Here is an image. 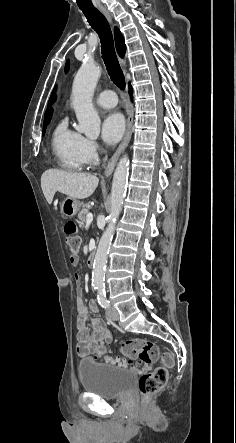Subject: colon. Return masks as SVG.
<instances>
[{
	"instance_id": "colon-1",
	"label": "colon",
	"mask_w": 236,
	"mask_h": 443,
	"mask_svg": "<svg viewBox=\"0 0 236 443\" xmlns=\"http://www.w3.org/2000/svg\"><path fill=\"white\" fill-rule=\"evenodd\" d=\"M66 242L70 250V260L73 265L78 261L80 239L77 235V225L73 221H68L64 225ZM96 359L108 364L119 365L124 368H131L144 371L152 363L161 360L162 366L151 372L144 373L139 381L141 394L148 398L159 392L168 380V368L173 366V357L170 353L160 352L158 346L148 339H129L121 344V353L125 359L121 360L111 356L103 345H97L92 349Z\"/></svg>"
}]
</instances>
